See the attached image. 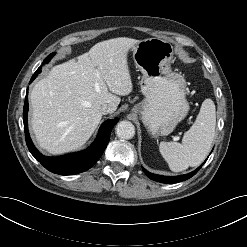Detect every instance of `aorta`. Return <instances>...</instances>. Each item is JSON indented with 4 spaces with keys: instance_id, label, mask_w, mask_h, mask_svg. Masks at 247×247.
Instances as JSON below:
<instances>
[{
    "instance_id": "aorta-1",
    "label": "aorta",
    "mask_w": 247,
    "mask_h": 247,
    "mask_svg": "<svg viewBox=\"0 0 247 247\" xmlns=\"http://www.w3.org/2000/svg\"><path fill=\"white\" fill-rule=\"evenodd\" d=\"M116 135L121 139H131L135 135V127L130 121H121L116 126Z\"/></svg>"
}]
</instances>
